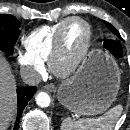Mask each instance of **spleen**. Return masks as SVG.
I'll use <instances>...</instances> for the list:
<instances>
[{
  "instance_id": "obj_1",
  "label": "spleen",
  "mask_w": 130,
  "mask_h": 130,
  "mask_svg": "<svg viewBox=\"0 0 130 130\" xmlns=\"http://www.w3.org/2000/svg\"><path fill=\"white\" fill-rule=\"evenodd\" d=\"M123 107L117 105L99 118H83L73 121L65 118L61 123V130H112L122 113Z\"/></svg>"
}]
</instances>
